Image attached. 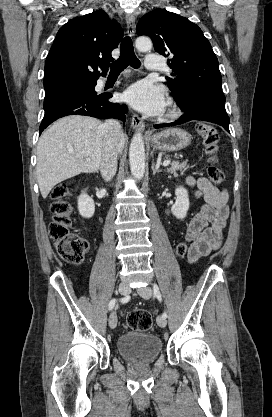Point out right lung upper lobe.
Returning <instances> with one entry per match:
<instances>
[{
	"mask_svg": "<svg viewBox=\"0 0 272 417\" xmlns=\"http://www.w3.org/2000/svg\"><path fill=\"white\" fill-rule=\"evenodd\" d=\"M122 36L120 25L101 10L68 21L46 58L44 88L87 84L105 76Z\"/></svg>",
	"mask_w": 272,
	"mask_h": 417,
	"instance_id": "1",
	"label": "right lung upper lobe"
}]
</instances>
